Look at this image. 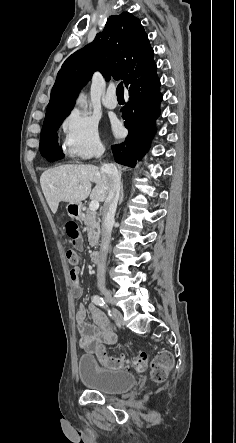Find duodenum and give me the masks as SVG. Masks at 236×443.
<instances>
[{
  "label": "duodenum",
  "instance_id": "1",
  "mask_svg": "<svg viewBox=\"0 0 236 443\" xmlns=\"http://www.w3.org/2000/svg\"><path fill=\"white\" fill-rule=\"evenodd\" d=\"M75 215L76 216H80L81 215V206L80 205H77L76 206V211H75ZM90 260H91V262L93 263V264H95V265H98V264H100V257H99V254L97 253V252H92L91 254H90Z\"/></svg>",
  "mask_w": 236,
  "mask_h": 443
}]
</instances>
